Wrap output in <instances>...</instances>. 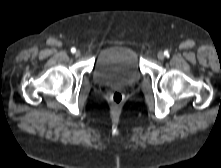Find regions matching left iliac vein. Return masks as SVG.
Masks as SVG:
<instances>
[{"mask_svg":"<svg viewBox=\"0 0 221 168\" xmlns=\"http://www.w3.org/2000/svg\"><path fill=\"white\" fill-rule=\"evenodd\" d=\"M157 58H158L159 60H163V59L165 58V54H164L162 51H160V52H158V54H157Z\"/></svg>","mask_w":221,"mask_h":168,"instance_id":"1","label":"left iliac vein"}]
</instances>
